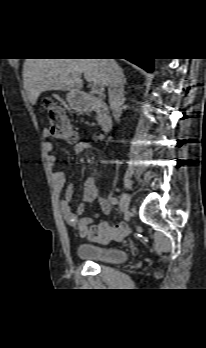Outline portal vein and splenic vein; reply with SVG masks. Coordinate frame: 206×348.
Segmentation results:
<instances>
[{"label": "portal vein and splenic vein", "mask_w": 206, "mask_h": 348, "mask_svg": "<svg viewBox=\"0 0 206 348\" xmlns=\"http://www.w3.org/2000/svg\"><path fill=\"white\" fill-rule=\"evenodd\" d=\"M92 90L95 92V93H102L103 91V88L100 84L98 83H93L92 85Z\"/></svg>", "instance_id": "obj_1"}]
</instances>
